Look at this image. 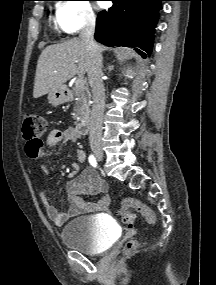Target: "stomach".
<instances>
[{"mask_svg":"<svg viewBox=\"0 0 216 285\" xmlns=\"http://www.w3.org/2000/svg\"><path fill=\"white\" fill-rule=\"evenodd\" d=\"M67 100V89L64 86L48 93V101L53 106L61 105Z\"/></svg>","mask_w":216,"mask_h":285,"instance_id":"obj_1","label":"stomach"}]
</instances>
